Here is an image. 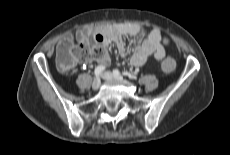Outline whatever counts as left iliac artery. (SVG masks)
I'll return each instance as SVG.
<instances>
[{
  "mask_svg": "<svg viewBox=\"0 0 230 155\" xmlns=\"http://www.w3.org/2000/svg\"><path fill=\"white\" fill-rule=\"evenodd\" d=\"M113 74H114V76H116V77H121V76H122L121 73H120V71L117 70V69L113 70Z\"/></svg>",
  "mask_w": 230,
  "mask_h": 155,
  "instance_id": "1",
  "label": "left iliac artery"
}]
</instances>
